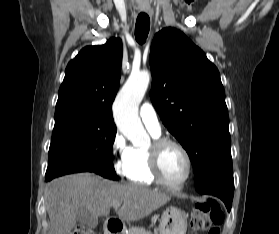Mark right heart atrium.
Masks as SVG:
<instances>
[{"label":"right heart atrium","mask_w":279,"mask_h":234,"mask_svg":"<svg viewBox=\"0 0 279 234\" xmlns=\"http://www.w3.org/2000/svg\"><path fill=\"white\" fill-rule=\"evenodd\" d=\"M111 150L114 156V169L116 173L123 175L124 164L130 152V146L120 131H116L112 138Z\"/></svg>","instance_id":"right-heart-atrium-1"}]
</instances>
